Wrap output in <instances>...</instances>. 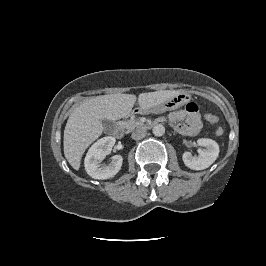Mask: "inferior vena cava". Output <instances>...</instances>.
Instances as JSON below:
<instances>
[{"mask_svg":"<svg viewBox=\"0 0 266 266\" xmlns=\"http://www.w3.org/2000/svg\"><path fill=\"white\" fill-rule=\"evenodd\" d=\"M146 134H147V132L144 129H137L132 133L131 137L134 140H140V139L144 138L146 136Z\"/></svg>","mask_w":266,"mask_h":266,"instance_id":"inferior-vena-cava-1","label":"inferior vena cava"}]
</instances>
